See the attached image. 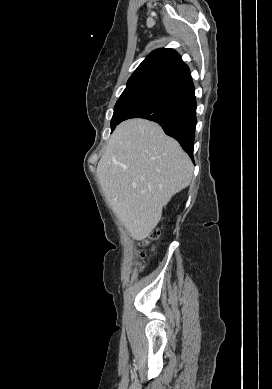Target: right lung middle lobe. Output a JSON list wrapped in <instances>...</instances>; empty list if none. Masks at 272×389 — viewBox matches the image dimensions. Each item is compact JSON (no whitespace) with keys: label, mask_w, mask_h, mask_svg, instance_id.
<instances>
[{"label":"right lung middle lobe","mask_w":272,"mask_h":389,"mask_svg":"<svg viewBox=\"0 0 272 389\" xmlns=\"http://www.w3.org/2000/svg\"><path fill=\"white\" fill-rule=\"evenodd\" d=\"M163 86L157 83L138 82L127 84L125 90L115 104L111 119V132L123 121L125 115L145 98L149 97Z\"/></svg>","instance_id":"1"}]
</instances>
